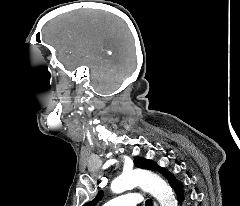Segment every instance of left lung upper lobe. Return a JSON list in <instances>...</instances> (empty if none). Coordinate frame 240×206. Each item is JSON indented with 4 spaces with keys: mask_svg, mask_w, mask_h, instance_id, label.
Masks as SVG:
<instances>
[{
    "mask_svg": "<svg viewBox=\"0 0 240 206\" xmlns=\"http://www.w3.org/2000/svg\"><path fill=\"white\" fill-rule=\"evenodd\" d=\"M134 165L138 168L143 169H150V170H158L161 174L164 175L165 170L161 167H159L156 163H154L151 160L143 159L140 157H136L134 159ZM103 193L99 192L97 196L90 202H87L84 206H95L102 198Z\"/></svg>",
    "mask_w": 240,
    "mask_h": 206,
    "instance_id": "obj_1",
    "label": "left lung upper lobe"
}]
</instances>
